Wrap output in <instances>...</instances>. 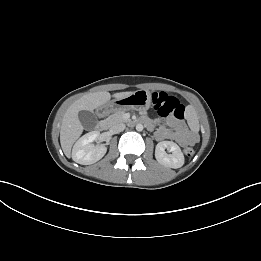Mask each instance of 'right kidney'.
Returning a JSON list of instances; mask_svg holds the SVG:
<instances>
[{"label":"right kidney","instance_id":"ca27d5eb","mask_svg":"<svg viewBox=\"0 0 261 261\" xmlns=\"http://www.w3.org/2000/svg\"><path fill=\"white\" fill-rule=\"evenodd\" d=\"M98 137V132H89L83 135L73 146V161L82 165H90L99 161L105 155L107 148L103 145L94 146L91 144Z\"/></svg>","mask_w":261,"mask_h":261}]
</instances>
